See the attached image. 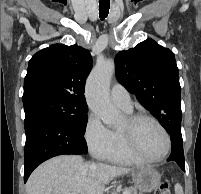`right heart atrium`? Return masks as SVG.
<instances>
[{
    "mask_svg": "<svg viewBox=\"0 0 201 194\" xmlns=\"http://www.w3.org/2000/svg\"><path fill=\"white\" fill-rule=\"evenodd\" d=\"M83 135L89 151L96 158H104L113 146V131L95 113L88 115Z\"/></svg>",
    "mask_w": 201,
    "mask_h": 194,
    "instance_id": "right-heart-atrium-1",
    "label": "right heart atrium"
}]
</instances>
